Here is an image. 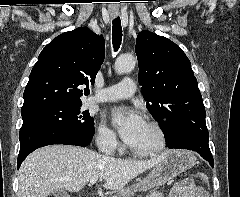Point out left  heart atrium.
I'll return each instance as SVG.
<instances>
[{"label":"left heart atrium","instance_id":"39dd6f15","mask_svg":"<svg viewBox=\"0 0 240 197\" xmlns=\"http://www.w3.org/2000/svg\"><path fill=\"white\" fill-rule=\"evenodd\" d=\"M111 120L118 129L121 138L128 145L132 144L142 132L145 120L134 108L116 107L111 111Z\"/></svg>","mask_w":240,"mask_h":197}]
</instances>
